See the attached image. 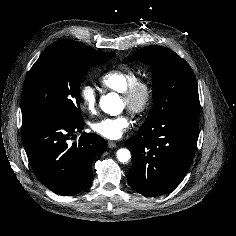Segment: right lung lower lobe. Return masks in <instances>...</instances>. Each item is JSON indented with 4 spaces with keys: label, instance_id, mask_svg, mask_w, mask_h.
Listing matches in <instances>:
<instances>
[{
    "label": "right lung lower lobe",
    "instance_id": "obj_1",
    "mask_svg": "<svg viewBox=\"0 0 236 236\" xmlns=\"http://www.w3.org/2000/svg\"><path fill=\"white\" fill-rule=\"evenodd\" d=\"M83 128L82 118L40 114L22 120V142L30 166L54 193L70 196L87 188L92 181L93 159L107 148L102 137L85 132L70 144L68 139Z\"/></svg>",
    "mask_w": 236,
    "mask_h": 236
}]
</instances>
